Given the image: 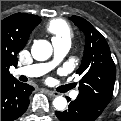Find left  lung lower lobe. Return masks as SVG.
<instances>
[{"label":"left lung lower lobe","mask_w":121,"mask_h":121,"mask_svg":"<svg viewBox=\"0 0 121 121\" xmlns=\"http://www.w3.org/2000/svg\"><path fill=\"white\" fill-rule=\"evenodd\" d=\"M67 100L69 101L70 99L67 98ZM101 113V110L76 99L69 104L68 110L63 112L56 111V116L60 121H94Z\"/></svg>","instance_id":"1"}]
</instances>
